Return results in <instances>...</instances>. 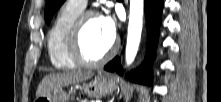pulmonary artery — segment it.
<instances>
[{"instance_id": "pulmonary-artery-1", "label": "pulmonary artery", "mask_w": 221, "mask_h": 102, "mask_svg": "<svg viewBox=\"0 0 221 102\" xmlns=\"http://www.w3.org/2000/svg\"><path fill=\"white\" fill-rule=\"evenodd\" d=\"M71 2L75 3L79 7L85 8L87 4V0H71Z\"/></svg>"}]
</instances>
